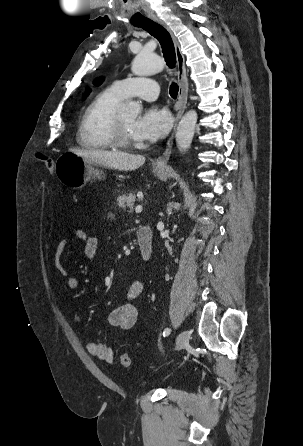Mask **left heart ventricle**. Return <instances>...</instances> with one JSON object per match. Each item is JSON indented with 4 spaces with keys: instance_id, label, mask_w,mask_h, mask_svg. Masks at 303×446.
Segmentation results:
<instances>
[{
    "instance_id": "obj_1",
    "label": "left heart ventricle",
    "mask_w": 303,
    "mask_h": 446,
    "mask_svg": "<svg viewBox=\"0 0 303 446\" xmlns=\"http://www.w3.org/2000/svg\"><path fill=\"white\" fill-rule=\"evenodd\" d=\"M121 121L125 127V130L127 131V133L135 139V137L133 136V125L136 121V116L135 115H131V114H121Z\"/></svg>"
}]
</instances>
